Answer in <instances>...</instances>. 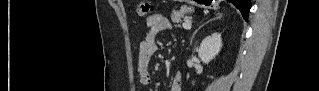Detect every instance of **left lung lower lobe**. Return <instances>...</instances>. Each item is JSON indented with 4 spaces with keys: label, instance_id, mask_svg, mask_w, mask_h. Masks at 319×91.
<instances>
[{
    "label": "left lung lower lobe",
    "instance_id": "obj_1",
    "mask_svg": "<svg viewBox=\"0 0 319 91\" xmlns=\"http://www.w3.org/2000/svg\"><path fill=\"white\" fill-rule=\"evenodd\" d=\"M242 13V16L247 21L248 12L251 8L250 0H230ZM201 3V2H199Z\"/></svg>",
    "mask_w": 319,
    "mask_h": 91
}]
</instances>
